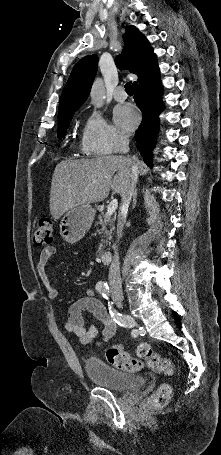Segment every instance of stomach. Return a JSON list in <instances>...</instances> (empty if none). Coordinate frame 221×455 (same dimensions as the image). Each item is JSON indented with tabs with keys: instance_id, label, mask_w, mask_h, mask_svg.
Masks as SVG:
<instances>
[{
	"instance_id": "1",
	"label": "stomach",
	"mask_w": 221,
	"mask_h": 455,
	"mask_svg": "<svg viewBox=\"0 0 221 455\" xmlns=\"http://www.w3.org/2000/svg\"><path fill=\"white\" fill-rule=\"evenodd\" d=\"M95 210L89 204H81L68 210L60 221V235L70 244L79 242L90 229Z\"/></svg>"
}]
</instances>
